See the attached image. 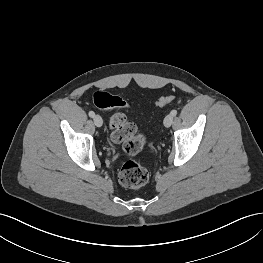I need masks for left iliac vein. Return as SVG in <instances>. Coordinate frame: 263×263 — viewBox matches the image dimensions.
<instances>
[{"label":"left iliac vein","mask_w":263,"mask_h":263,"mask_svg":"<svg viewBox=\"0 0 263 263\" xmlns=\"http://www.w3.org/2000/svg\"><path fill=\"white\" fill-rule=\"evenodd\" d=\"M172 122H173V116L171 114L166 115V117L164 118L165 127H170L172 125Z\"/></svg>","instance_id":"4c4485c4"}]
</instances>
